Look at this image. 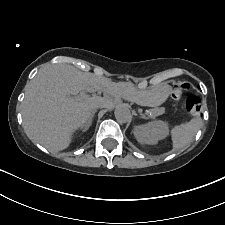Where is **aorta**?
<instances>
[{
	"instance_id": "762f6f07",
	"label": "aorta",
	"mask_w": 225,
	"mask_h": 225,
	"mask_svg": "<svg viewBox=\"0 0 225 225\" xmlns=\"http://www.w3.org/2000/svg\"><path fill=\"white\" fill-rule=\"evenodd\" d=\"M115 118L119 123H128L132 119L129 108L125 105H118L115 109Z\"/></svg>"
}]
</instances>
